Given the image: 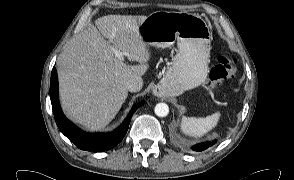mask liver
<instances>
[{
	"mask_svg": "<svg viewBox=\"0 0 294 180\" xmlns=\"http://www.w3.org/2000/svg\"><path fill=\"white\" fill-rule=\"evenodd\" d=\"M146 18L103 16L96 26L89 25L67 42L57 59V71L61 104L73 121L96 131L119 112L128 96L127 82L142 77L149 67L148 45L139 35ZM113 48L138 64H125Z\"/></svg>",
	"mask_w": 294,
	"mask_h": 180,
	"instance_id": "1",
	"label": "liver"
}]
</instances>
